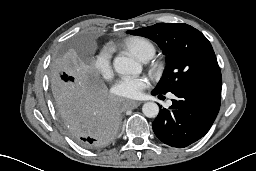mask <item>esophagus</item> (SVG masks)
<instances>
[{"instance_id":"esophagus-1","label":"esophagus","mask_w":256,"mask_h":171,"mask_svg":"<svg viewBox=\"0 0 256 171\" xmlns=\"http://www.w3.org/2000/svg\"><path fill=\"white\" fill-rule=\"evenodd\" d=\"M140 104H141V102H139V101H129L128 102V108H130V109H135V108H137L138 106H140Z\"/></svg>"}]
</instances>
